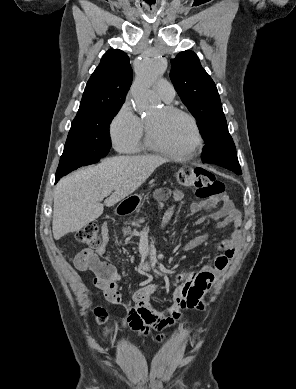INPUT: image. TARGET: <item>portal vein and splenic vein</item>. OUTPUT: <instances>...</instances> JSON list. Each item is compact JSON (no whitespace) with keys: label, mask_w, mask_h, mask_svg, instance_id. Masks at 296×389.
<instances>
[{"label":"portal vein and splenic vein","mask_w":296,"mask_h":389,"mask_svg":"<svg viewBox=\"0 0 296 389\" xmlns=\"http://www.w3.org/2000/svg\"><path fill=\"white\" fill-rule=\"evenodd\" d=\"M107 196V194H105L101 199H103L104 197H106Z\"/></svg>","instance_id":"obj_1"}]
</instances>
